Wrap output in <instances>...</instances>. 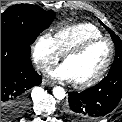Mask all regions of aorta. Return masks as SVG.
Segmentation results:
<instances>
[{
  "label": "aorta",
  "mask_w": 122,
  "mask_h": 122,
  "mask_svg": "<svg viewBox=\"0 0 122 122\" xmlns=\"http://www.w3.org/2000/svg\"><path fill=\"white\" fill-rule=\"evenodd\" d=\"M53 95L56 99L62 100L65 98L66 92H65L64 88L57 86V87L53 88Z\"/></svg>",
  "instance_id": "obj_1"
}]
</instances>
